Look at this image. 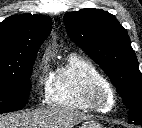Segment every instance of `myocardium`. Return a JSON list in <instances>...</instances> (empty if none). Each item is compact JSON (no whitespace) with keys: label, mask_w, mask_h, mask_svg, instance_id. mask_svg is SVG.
<instances>
[{"label":"myocardium","mask_w":142,"mask_h":128,"mask_svg":"<svg viewBox=\"0 0 142 128\" xmlns=\"http://www.w3.org/2000/svg\"><path fill=\"white\" fill-rule=\"evenodd\" d=\"M85 100L93 110L107 113L116 105V94L110 83L94 80L86 89Z\"/></svg>","instance_id":"f54148a6"}]
</instances>
